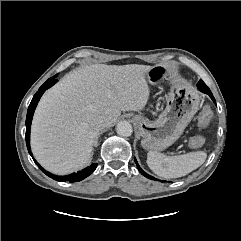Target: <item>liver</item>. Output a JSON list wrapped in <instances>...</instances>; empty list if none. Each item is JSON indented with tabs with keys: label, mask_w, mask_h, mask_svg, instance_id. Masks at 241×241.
I'll list each match as a JSON object with an SVG mask.
<instances>
[{
	"label": "liver",
	"mask_w": 241,
	"mask_h": 241,
	"mask_svg": "<svg viewBox=\"0 0 241 241\" xmlns=\"http://www.w3.org/2000/svg\"><path fill=\"white\" fill-rule=\"evenodd\" d=\"M151 66L94 64L65 75L42 96L31 128V149L48 171L65 175L85 167L100 130V117L111 126L121 111H138L150 96Z\"/></svg>",
	"instance_id": "liver-1"
}]
</instances>
